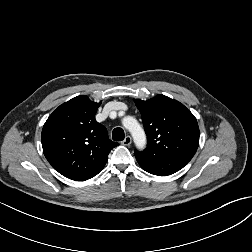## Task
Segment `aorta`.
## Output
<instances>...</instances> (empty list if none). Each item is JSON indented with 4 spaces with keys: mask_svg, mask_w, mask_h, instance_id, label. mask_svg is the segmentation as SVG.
<instances>
[{
    "mask_svg": "<svg viewBox=\"0 0 252 252\" xmlns=\"http://www.w3.org/2000/svg\"><path fill=\"white\" fill-rule=\"evenodd\" d=\"M123 125L130 131L136 146L143 148L146 144V135L137 120L133 117H126L123 120Z\"/></svg>",
    "mask_w": 252,
    "mask_h": 252,
    "instance_id": "obj_1",
    "label": "aorta"
}]
</instances>
